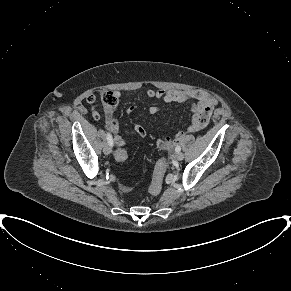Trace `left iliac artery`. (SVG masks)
<instances>
[{"label":"left iliac artery","instance_id":"1","mask_svg":"<svg viewBox=\"0 0 291 291\" xmlns=\"http://www.w3.org/2000/svg\"><path fill=\"white\" fill-rule=\"evenodd\" d=\"M175 150H176V152H180L181 151V147L180 146H176Z\"/></svg>","mask_w":291,"mask_h":291}]
</instances>
